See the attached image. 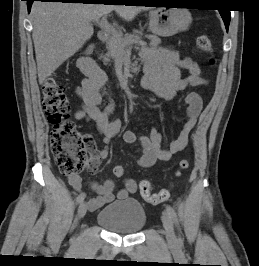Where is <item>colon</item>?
<instances>
[{
  "label": "colon",
  "instance_id": "1",
  "mask_svg": "<svg viewBox=\"0 0 259 266\" xmlns=\"http://www.w3.org/2000/svg\"><path fill=\"white\" fill-rule=\"evenodd\" d=\"M197 47L212 54L213 47L210 38L201 34L196 39ZM214 63V59H210ZM42 106L48 122L52 125L50 145L54 160L59 170L66 175H76L87 164V148L92 146L91 138L81 133L70 118V104L66 96L65 86L54 77H49L42 87ZM189 162L181 160L178 163L177 175L188 169ZM117 177H123L125 169L122 166L114 168ZM140 194L150 204H159L170 198V190L165 188L158 193L153 192L149 180L140 183Z\"/></svg>",
  "mask_w": 259,
  "mask_h": 266
}]
</instances>
